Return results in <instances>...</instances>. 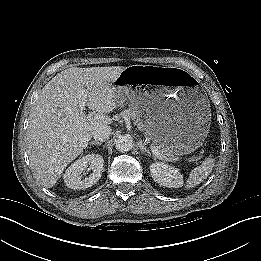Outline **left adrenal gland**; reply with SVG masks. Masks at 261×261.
Returning a JSON list of instances; mask_svg holds the SVG:
<instances>
[{"instance_id": "1", "label": "left adrenal gland", "mask_w": 261, "mask_h": 261, "mask_svg": "<svg viewBox=\"0 0 261 261\" xmlns=\"http://www.w3.org/2000/svg\"><path fill=\"white\" fill-rule=\"evenodd\" d=\"M138 146L141 153H147L149 156H151V152L146 148V146L141 141L138 143Z\"/></svg>"}]
</instances>
